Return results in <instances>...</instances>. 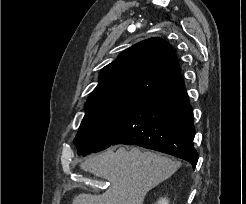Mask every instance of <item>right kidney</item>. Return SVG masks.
<instances>
[{
    "label": "right kidney",
    "instance_id": "right-kidney-1",
    "mask_svg": "<svg viewBox=\"0 0 246 204\" xmlns=\"http://www.w3.org/2000/svg\"><path fill=\"white\" fill-rule=\"evenodd\" d=\"M156 204H169V201L166 198H162Z\"/></svg>",
    "mask_w": 246,
    "mask_h": 204
}]
</instances>
